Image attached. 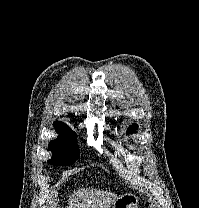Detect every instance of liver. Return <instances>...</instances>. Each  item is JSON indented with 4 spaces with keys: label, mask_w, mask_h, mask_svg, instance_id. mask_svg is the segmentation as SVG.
<instances>
[{
    "label": "liver",
    "mask_w": 199,
    "mask_h": 208,
    "mask_svg": "<svg viewBox=\"0 0 199 208\" xmlns=\"http://www.w3.org/2000/svg\"><path fill=\"white\" fill-rule=\"evenodd\" d=\"M77 199L74 200V194L70 197V204L68 208L74 206L73 202L77 204V208H110L117 195L112 192L96 190L89 191L88 189H81L77 193ZM81 201V202H79Z\"/></svg>",
    "instance_id": "liver-1"
}]
</instances>
